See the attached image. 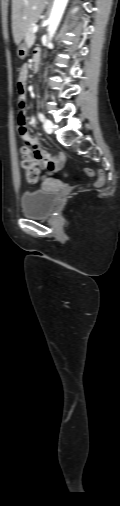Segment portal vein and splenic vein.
Wrapping results in <instances>:
<instances>
[{
	"label": "portal vein and splenic vein",
	"mask_w": 120,
	"mask_h": 506,
	"mask_svg": "<svg viewBox=\"0 0 120 506\" xmlns=\"http://www.w3.org/2000/svg\"><path fill=\"white\" fill-rule=\"evenodd\" d=\"M37 31H38V26H34L33 29H32V32L36 33Z\"/></svg>",
	"instance_id": "1"
}]
</instances>
